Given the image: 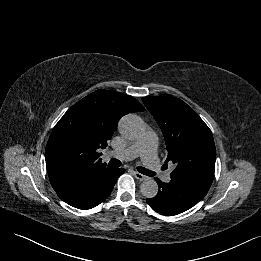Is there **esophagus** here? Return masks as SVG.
<instances>
[{"label":"esophagus","mask_w":261,"mask_h":261,"mask_svg":"<svg viewBox=\"0 0 261 261\" xmlns=\"http://www.w3.org/2000/svg\"><path fill=\"white\" fill-rule=\"evenodd\" d=\"M133 174L140 181L146 180L148 178L147 176H145V175H143V174H141V173H139L137 171H134Z\"/></svg>","instance_id":"1"}]
</instances>
